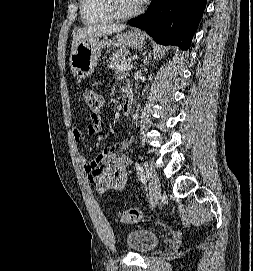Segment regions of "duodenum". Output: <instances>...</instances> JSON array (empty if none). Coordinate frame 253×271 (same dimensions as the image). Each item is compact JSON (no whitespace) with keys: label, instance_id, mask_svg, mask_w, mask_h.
I'll return each instance as SVG.
<instances>
[{"label":"duodenum","instance_id":"duodenum-1","mask_svg":"<svg viewBox=\"0 0 253 271\" xmlns=\"http://www.w3.org/2000/svg\"><path fill=\"white\" fill-rule=\"evenodd\" d=\"M133 107V94L130 91L125 92L124 101L122 105V113L129 114Z\"/></svg>","mask_w":253,"mask_h":271}]
</instances>
